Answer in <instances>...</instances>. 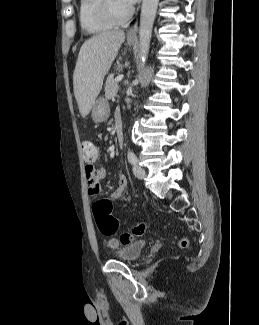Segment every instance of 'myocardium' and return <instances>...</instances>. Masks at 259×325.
<instances>
[{"label":"myocardium","instance_id":"obj_1","mask_svg":"<svg viewBox=\"0 0 259 325\" xmlns=\"http://www.w3.org/2000/svg\"><path fill=\"white\" fill-rule=\"evenodd\" d=\"M96 12L103 21L117 25L127 21L132 16L133 8L129 6L125 13L118 14L113 8L112 0H98Z\"/></svg>","mask_w":259,"mask_h":325}]
</instances>
